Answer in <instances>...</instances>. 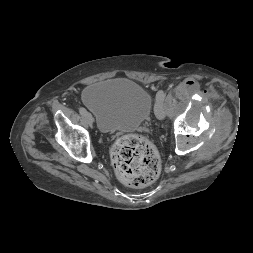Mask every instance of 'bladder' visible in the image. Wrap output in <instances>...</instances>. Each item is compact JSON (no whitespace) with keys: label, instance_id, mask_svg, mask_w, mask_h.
<instances>
[{"label":"bladder","instance_id":"obj_1","mask_svg":"<svg viewBox=\"0 0 253 253\" xmlns=\"http://www.w3.org/2000/svg\"><path fill=\"white\" fill-rule=\"evenodd\" d=\"M84 104L94 112L102 132L132 131L151 113L152 97L129 79H111L86 88Z\"/></svg>","mask_w":253,"mask_h":253}]
</instances>
